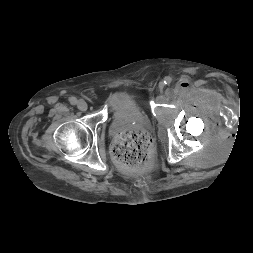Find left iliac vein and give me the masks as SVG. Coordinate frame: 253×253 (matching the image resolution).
I'll list each match as a JSON object with an SVG mask.
<instances>
[{"label": "left iliac vein", "instance_id": "left-iliac-vein-1", "mask_svg": "<svg viewBox=\"0 0 253 253\" xmlns=\"http://www.w3.org/2000/svg\"><path fill=\"white\" fill-rule=\"evenodd\" d=\"M164 86H165L164 82H160V83H159V88H160V90H162V89L164 88Z\"/></svg>", "mask_w": 253, "mask_h": 253}]
</instances>
